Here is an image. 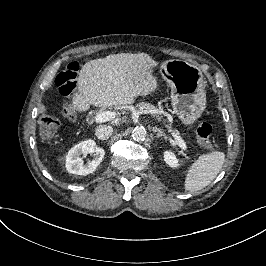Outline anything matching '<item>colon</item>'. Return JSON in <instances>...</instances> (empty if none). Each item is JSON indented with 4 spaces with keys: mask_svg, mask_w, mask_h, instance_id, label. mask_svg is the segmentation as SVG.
Returning <instances> with one entry per match:
<instances>
[{
    "mask_svg": "<svg viewBox=\"0 0 266 266\" xmlns=\"http://www.w3.org/2000/svg\"><path fill=\"white\" fill-rule=\"evenodd\" d=\"M78 68V62L71 61L57 77V86L63 95H69L75 90ZM57 125L58 121L53 115L50 113L42 115L39 119V134L41 138L45 140L51 139L56 132ZM194 129L197 132L201 144L207 149L211 148L210 138L212 135V126L207 122L196 121Z\"/></svg>",
    "mask_w": 266,
    "mask_h": 266,
    "instance_id": "1",
    "label": "colon"
}]
</instances>
